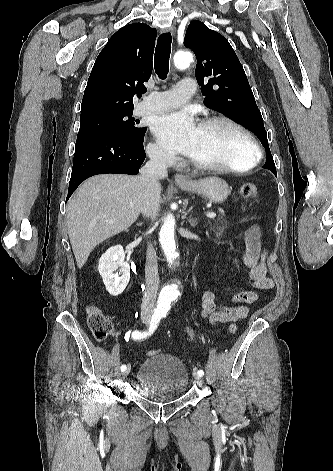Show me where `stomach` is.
Returning <instances> with one entry per match:
<instances>
[{
  "mask_svg": "<svg viewBox=\"0 0 333 471\" xmlns=\"http://www.w3.org/2000/svg\"><path fill=\"white\" fill-rule=\"evenodd\" d=\"M178 187L184 191L202 195L214 203H223L231 189L223 179L218 177H207L199 180H190L187 183H177Z\"/></svg>",
  "mask_w": 333,
  "mask_h": 471,
  "instance_id": "0dacf381",
  "label": "stomach"
}]
</instances>
